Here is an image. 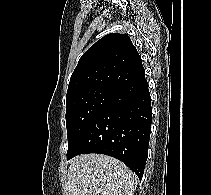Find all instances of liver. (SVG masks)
<instances>
[{
  "label": "liver",
  "mask_w": 211,
  "mask_h": 195,
  "mask_svg": "<svg viewBox=\"0 0 211 195\" xmlns=\"http://www.w3.org/2000/svg\"><path fill=\"white\" fill-rule=\"evenodd\" d=\"M137 176L121 161L104 154L72 159L67 174V195H134Z\"/></svg>",
  "instance_id": "1"
}]
</instances>
